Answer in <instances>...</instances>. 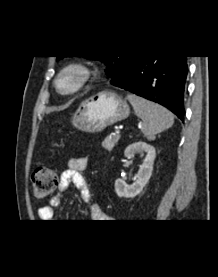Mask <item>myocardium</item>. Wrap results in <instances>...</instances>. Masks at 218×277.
<instances>
[{
	"label": "myocardium",
	"mask_w": 218,
	"mask_h": 277,
	"mask_svg": "<svg viewBox=\"0 0 218 277\" xmlns=\"http://www.w3.org/2000/svg\"><path fill=\"white\" fill-rule=\"evenodd\" d=\"M93 75V70L84 62H69L62 66L55 79L54 86L61 95H72L79 92L87 85ZM71 80L70 85L65 86V80Z\"/></svg>",
	"instance_id": "obj_1"
}]
</instances>
